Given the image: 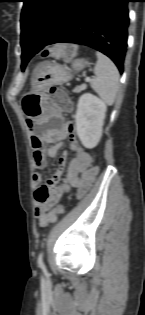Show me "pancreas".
Returning <instances> with one entry per match:
<instances>
[{
    "label": "pancreas",
    "instance_id": "obj_1",
    "mask_svg": "<svg viewBox=\"0 0 145 315\" xmlns=\"http://www.w3.org/2000/svg\"><path fill=\"white\" fill-rule=\"evenodd\" d=\"M85 88H86L85 85L77 86V87L74 89V92L79 93V92H81L82 90H84Z\"/></svg>",
    "mask_w": 145,
    "mask_h": 315
}]
</instances>
